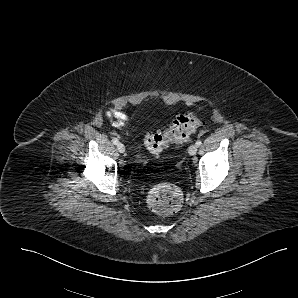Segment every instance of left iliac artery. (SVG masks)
<instances>
[{"mask_svg": "<svg viewBox=\"0 0 298 298\" xmlns=\"http://www.w3.org/2000/svg\"><path fill=\"white\" fill-rule=\"evenodd\" d=\"M201 144H202L201 140H197V141H196V146H197V147L201 146Z\"/></svg>", "mask_w": 298, "mask_h": 298, "instance_id": "1", "label": "left iliac artery"}]
</instances>
